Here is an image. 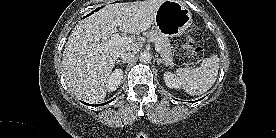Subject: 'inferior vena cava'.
<instances>
[{
    "label": "inferior vena cava",
    "instance_id": "602c4592",
    "mask_svg": "<svg viewBox=\"0 0 276 138\" xmlns=\"http://www.w3.org/2000/svg\"><path fill=\"white\" fill-rule=\"evenodd\" d=\"M138 51L137 46L128 47L119 51L118 56L124 61L133 59Z\"/></svg>",
    "mask_w": 276,
    "mask_h": 138
}]
</instances>
